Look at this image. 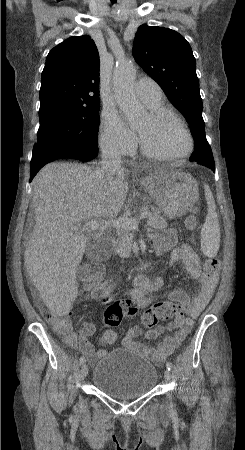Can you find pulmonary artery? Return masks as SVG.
I'll list each match as a JSON object with an SVG mask.
<instances>
[{
	"label": "pulmonary artery",
	"instance_id": "pulmonary-artery-1",
	"mask_svg": "<svg viewBox=\"0 0 245 450\" xmlns=\"http://www.w3.org/2000/svg\"><path fill=\"white\" fill-rule=\"evenodd\" d=\"M134 93L149 107L158 105L163 96L160 86L149 77L141 78L135 83Z\"/></svg>",
	"mask_w": 245,
	"mask_h": 450
}]
</instances>
